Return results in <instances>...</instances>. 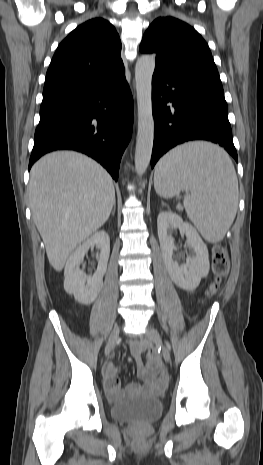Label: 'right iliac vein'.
Listing matches in <instances>:
<instances>
[{"label":"right iliac vein","instance_id":"right-iliac-vein-1","mask_svg":"<svg viewBox=\"0 0 263 465\" xmlns=\"http://www.w3.org/2000/svg\"><path fill=\"white\" fill-rule=\"evenodd\" d=\"M119 334H120V328L115 327L113 331L111 332L109 339L107 341L106 347H105V355L108 356L110 352L113 350L114 346L116 345L118 339H119Z\"/></svg>","mask_w":263,"mask_h":465}]
</instances>
